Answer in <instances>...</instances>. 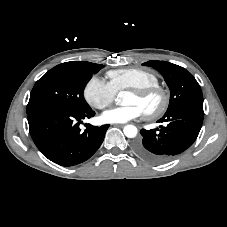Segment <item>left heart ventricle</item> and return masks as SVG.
Here are the masks:
<instances>
[{
	"mask_svg": "<svg viewBox=\"0 0 227 227\" xmlns=\"http://www.w3.org/2000/svg\"><path fill=\"white\" fill-rule=\"evenodd\" d=\"M124 104L130 105L134 104L141 108L143 113L155 109L159 104V98L157 96H152L146 99H141L132 93H128L124 98Z\"/></svg>",
	"mask_w": 227,
	"mask_h": 227,
	"instance_id": "1",
	"label": "left heart ventricle"
}]
</instances>
